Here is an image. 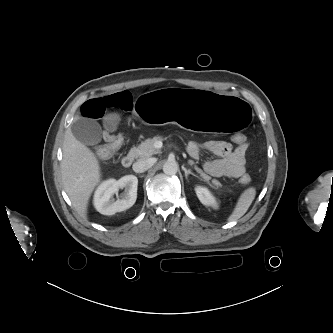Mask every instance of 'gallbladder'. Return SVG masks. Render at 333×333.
I'll use <instances>...</instances> for the list:
<instances>
[{
	"mask_svg": "<svg viewBox=\"0 0 333 333\" xmlns=\"http://www.w3.org/2000/svg\"><path fill=\"white\" fill-rule=\"evenodd\" d=\"M74 137L85 145H94L101 141L102 129L93 119L79 117L71 125Z\"/></svg>",
	"mask_w": 333,
	"mask_h": 333,
	"instance_id": "1",
	"label": "gallbladder"
}]
</instances>
